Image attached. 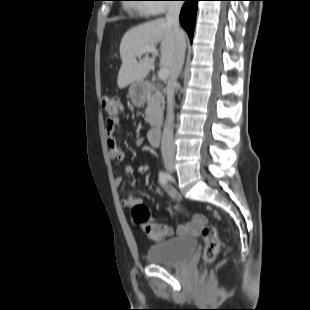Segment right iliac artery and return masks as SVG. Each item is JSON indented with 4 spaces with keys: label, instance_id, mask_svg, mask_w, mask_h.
<instances>
[{
    "label": "right iliac artery",
    "instance_id": "1",
    "mask_svg": "<svg viewBox=\"0 0 310 310\" xmlns=\"http://www.w3.org/2000/svg\"><path fill=\"white\" fill-rule=\"evenodd\" d=\"M159 179L162 183H166L170 179V175L166 172L161 171L159 173Z\"/></svg>",
    "mask_w": 310,
    "mask_h": 310
}]
</instances>
